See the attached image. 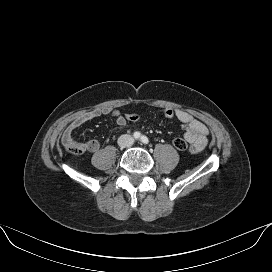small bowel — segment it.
Wrapping results in <instances>:
<instances>
[{"mask_svg": "<svg viewBox=\"0 0 272 272\" xmlns=\"http://www.w3.org/2000/svg\"><path fill=\"white\" fill-rule=\"evenodd\" d=\"M175 118L179 121L181 128L184 130V141L190 146L192 153L202 151L208 143L209 130L207 126L195 119L191 114L183 109H175ZM101 115H109L114 118L115 123L119 127L126 125L125 117L118 111L111 108L95 109L77 116L64 130L62 142L67 147L73 146L81 151L96 152L100 148V143L97 139L89 138L83 142L75 139L74 132L83 124L91 121Z\"/></svg>", "mask_w": 272, "mask_h": 272, "instance_id": "c3829d8e", "label": "small bowel"}]
</instances>
